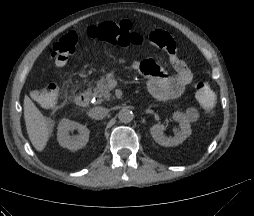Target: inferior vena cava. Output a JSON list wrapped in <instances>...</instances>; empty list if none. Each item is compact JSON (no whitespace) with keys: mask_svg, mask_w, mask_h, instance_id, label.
<instances>
[{"mask_svg":"<svg viewBox=\"0 0 254 216\" xmlns=\"http://www.w3.org/2000/svg\"><path fill=\"white\" fill-rule=\"evenodd\" d=\"M108 113V110L104 107L98 106L90 110V116L93 119L100 120L103 119Z\"/></svg>","mask_w":254,"mask_h":216,"instance_id":"inferior-vena-cava-1","label":"inferior vena cava"}]
</instances>
